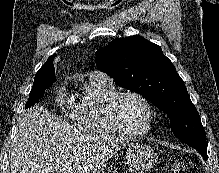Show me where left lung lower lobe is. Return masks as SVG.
Returning a JSON list of instances; mask_svg holds the SVG:
<instances>
[{"mask_svg": "<svg viewBox=\"0 0 219 173\" xmlns=\"http://www.w3.org/2000/svg\"><path fill=\"white\" fill-rule=\"evenodd\" d=\"M203 157V159L207 160L208 156H207V150L204 149H199V148H195Z\"/></svg>", "mask_w": 219, "mask_h": 173, "instance_id": "1", "label": "left lung lower lobe"}]
</instances>
